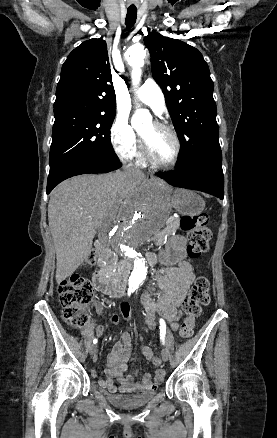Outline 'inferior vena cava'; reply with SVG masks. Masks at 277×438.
Returning <instances> with one entry per match:
<instances>
[{
    "label": "inferior vena cava",
    "instance_id": "obj_1",
    "mask_svg": "<svg viewBox=\"0 0 277 438\" xmlns=\"http://www.w3.org/2000/svg\"><path fill=\"white\" fill-rule=\"evenodd\" d=\"M123 170H125L127 174H141L138 168H128V166H123Z\"/></svg>",
    "mask_w": 277,
    "mask_h": 438
}]
</instances>
